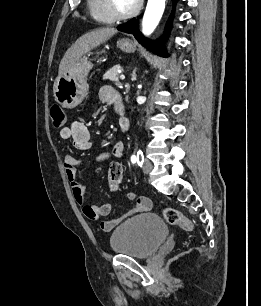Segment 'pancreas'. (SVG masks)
Masks as SVG:
<instances>
[{"mask_svg": "<svg viewBox=\"0 0 261 306\" xmlns=\"http://www.w3.org/2000/svg\"><path fill=\"white\" fill-rule=\"evenodd\" d=\"M120 69H121L120 65H115L103 75V80L118 82V71Z\"/></svg>", "mask_w": 261, "mask_h": 306, "instance_id": "cf45deb5", "label": "pancreas"}]
</instances>
